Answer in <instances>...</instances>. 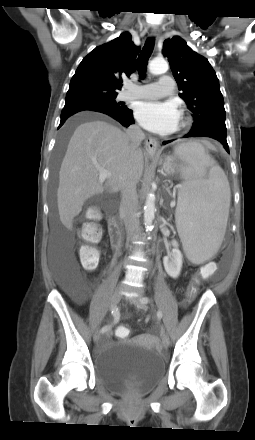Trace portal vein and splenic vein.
<instances>
[{
	"mask_svg": "<svg viewBox=\"0 0 255 440\" xmlns=\"http://www.w3.org/2000/svg\"><path fill=\"white\" fill-rule=\"evenodd\" d=\"M111 173H109L107 170L99 168V180L100 182H103L106 178L110 177Z\"/></svg>",
	"mask_w": 255,
	"mask_h": 440,
	"instance_id": "obj_1",
	"label": "portal vein and splenic vein"
}]
</instances>
